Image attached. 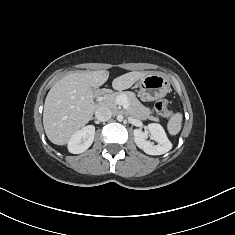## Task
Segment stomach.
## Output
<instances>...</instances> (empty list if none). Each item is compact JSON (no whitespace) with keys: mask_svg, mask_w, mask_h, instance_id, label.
<instances>
[{"mask_svg":"<svg viewBox=\"0 0 235 235\" xmlns=\"http://www.w3.org/2000/svg\"><path fill=\"white\" fill-rule=\"evenodd\" d=\"M138 96L142 101H154L164 97L170 90L168 79L160 73L144 76L137 84Z\"/></svg>","mask_w":235,"mask_h":235,"instance_id":"stomach-1","label":"stomach"}]
</instances>
